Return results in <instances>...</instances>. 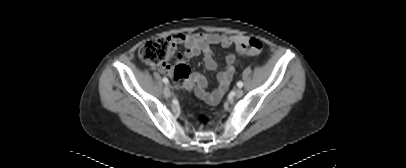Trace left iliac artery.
<instances>
[{
	"mask_svg": "<svg viewBox=\"0 0 406 168\" xmlns=\"http://www.w3.org/2000/svg\"><path fill=\"white\" fill-rule=\"evenodd\" d=\"M237 86H238L239 88L243 87V82L239 81V82L237 83Z\"/></svg>",
	"mask_w": 406,
	"mask_h": 168,
	"instance_id": "obj_1",
	"label": "left iliac artery"
}]
</instances>
